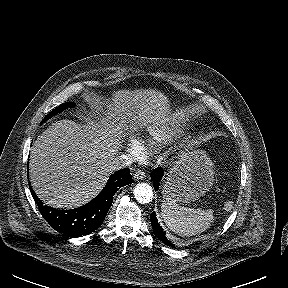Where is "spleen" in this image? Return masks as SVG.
I'll list each match as a JSON object with an SVG mask.
<instances>
[{
  "mask_svg": "<svg viewBox=\"0 0 288 288\" xmlns=\"http://www.w3.org/2000/svg\"><path fill=\"white\" fill-rule=\"evenodd\" d=\"M161 216L171 231L186 237L204 232L214 219L211 209L188 208L169 200L162 202Z\"/></svg>",
  "mask_w": 288,
  "mask_h": 288,
  "instance_id": "3e777b00",
  "label": "spleen"
}]
</instances>
